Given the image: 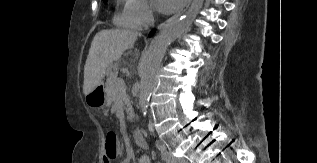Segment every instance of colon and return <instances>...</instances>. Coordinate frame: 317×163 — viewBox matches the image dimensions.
I'll list each match as a JSON object with an SVG mask.
<instances>
[{
    "mask_svg": "<svg viewBox=\"0 0 317 163\" xmlns=\"http://www.w3.org/2000/svg\"><path fill=\"white\" fill-rule=\"evenodd\" d=\"M106 157L108 160L115 159L118 154V138L114 131L109 130L104 136Z\"/></svg>",
    "mask_w": 317,
    "mask_h": 163,
    "instance_id": "obj_1",
    "label": "colon"
}]
</instances>
